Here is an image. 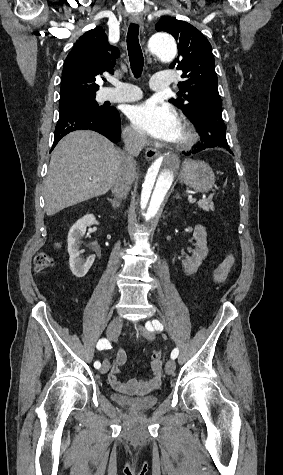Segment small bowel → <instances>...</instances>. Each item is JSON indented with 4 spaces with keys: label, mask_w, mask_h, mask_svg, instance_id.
Listing matches in <instances>:
<instances>
[{
    "label": "small bowel",
    "mask_w": 283,
    "mask_h": 475,
    "mask_svg": "<svg viewBox=\"0 0 283 475\" xmlns=\"http://www.w3.org/2000/svg\"><path fill=\"white\" fill-rule=\"evenodd\" d=\"M235 263V255L233 252H228L223 261L214 269L212 273V278L216 283H222L224 282ZM127 362V355L126 352L123 349L118 350L116 359L113 362L110 371L107 376V380L109 384L111 385L112 388L116 390L123 391L125 390V386L121 384V382L118 380V375L121 371V368L126 364ZM152 376L149 378L148 382L149 384L153 386H157L162 377V372L163 369H152ZM129 384L134 385L137 382L136 377L131 376L128 379ZM139 384L144 385L147 382L146 377L141 376L138 379Z\"/></svg>",
    "instance_id": "c3829d8e"
}]
</instances>
